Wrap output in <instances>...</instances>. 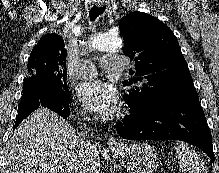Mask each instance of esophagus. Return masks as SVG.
I'll use <instances>...</instances> for the list:
<instances>
[{"instance_id": "1", "label": "esophagus", "mask_w": 219, "mask_h": 173, "mask_svg": "<svg viewBox=\"0 0 219 173\" xmlns=\"http://www.w3.org/2000/svg\"><path fill=\"white\" fill-rule=\"evenodd\" d=\"M98 5L101 6V4H98ZM106 142L109 146H113V145H117L119 141L113 135L107 134L106 135Z\"/></svg>"}]
</instances>
